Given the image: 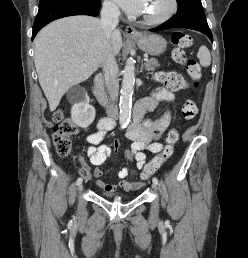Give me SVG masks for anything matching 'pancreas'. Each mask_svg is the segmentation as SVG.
I'll return each mask as SVG.
<instances>
[{"instance_id":"cf45deb5","label":"pancreas","mask_w":248,"mask_h":258,"mask_svg":"<svg viewBox=\"0 0 248 258\" xmlns=\"http://www.w3.org/2000/svg\"><path fill=\"white\" fill-rule=\"evenodd\" d=\"M158 66H159V63H158L157 59H155V58H151L149 61L145 62L146 69H148L150 71L156 70V68Z\"/></svg>"}]
</instances>
